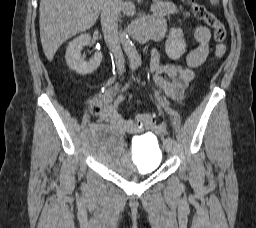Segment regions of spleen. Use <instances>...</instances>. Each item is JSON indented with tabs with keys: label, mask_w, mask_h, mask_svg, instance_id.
I'll use <instances>...</instances> for the list:
<instances>
[{
	"label": "spleen",
	"mask_w": 256,
	"mask_h": 228,
	"mask_svg": "<svg viewBox=\"0 0 256 228\" xmlns=\"http://www.w3.org/2000/svg\"><path fill=\"white\" fill-rule=\"evenodd\" d=\"M210 2H211L212 4H217V3L219 2V0H210Z\"/></svg>",
	"instance_id": "spleen-1"
}]
</instances>
